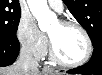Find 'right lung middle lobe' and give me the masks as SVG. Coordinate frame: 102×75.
I'll return each mask as SVG.
<instances>
[{
  "label": "right lung middle lobe",
  "instance_id": "obj_1",
  "mask_svg": "<svg viewBox=\"0 0 102 75\" xmlns=\"http://www.w3.org/2000/svg\"><path fill=\"white\" fill-rule=\"evenodd\" d=\"M20 16V5L0 3V38L17 39Z\"/></svg>",
  "mask_w": 102,
  "mask_h": 75
}]
</instances>
